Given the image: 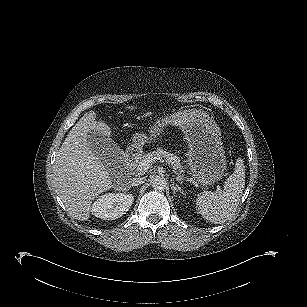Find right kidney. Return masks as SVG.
<instances>
[{
    "label": "right kidney",
    "mask_w": 307,
    "mask_h": 307,
    "mask_svg": "<svg viewBox=\"0 0 307 307\" xmlns=\"http://www.w3.org/2000/svg\"><path fill=\"white\" fill-rule=\"evenodd\" d=\"M134 196L128 193H106L91 206V213L103 220L120 218L131 207Z\"/></svg>",
    "instance_id": "1"
}]
</instances>
